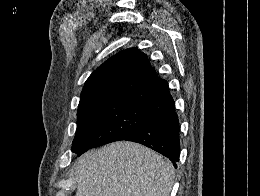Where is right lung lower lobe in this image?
<instances>
[{
  "label": "right lung lower lobe",
  "mask_w": 260,
  "mask_h": 196,
  "mask_svg": "<svg viewBox=\"0 0 260 196\" xmlns=\"http://www.w3.org/2000/svg\"><path fill=\"white\" fill-rule=\"evenodd\" d=\"M144 110L154 118L135 130L124 135L120 140L133 141L143 144L167 157L174 167L179 161L180 152V126L175 112L174 100L169 91L163 96L143 106ZM90 148H80L78 156Z\"/></svg>",
  "instance_id": "obj_1"
}]
</instances>
